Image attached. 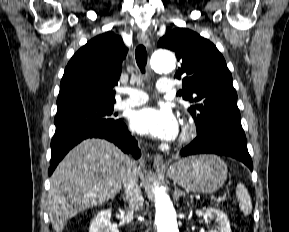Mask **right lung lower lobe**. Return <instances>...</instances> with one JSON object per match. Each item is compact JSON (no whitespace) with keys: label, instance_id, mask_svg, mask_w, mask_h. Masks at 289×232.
Listing matches in <instances>:
<instances>
[{"label":"right lung lower lobe","instance_id":"98d812e1","mask_svg":"<svg viewBox=\"0 0 289 232\" xmlns=\"http://www.w3.org/2000/svg\"><path fill=\"white\" fill-rule=\"evenodd\" d=\"M103 138L117 145L123 152L132 153L135 158L140 156L138 144L131 136L126 125L120 120L113 124H73L56 128L51 141V175L67 152L86 138Z\"/></svg>","mask_w":289,"mask_h":232}]
</instances>
